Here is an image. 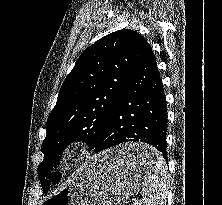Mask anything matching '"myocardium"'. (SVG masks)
Instances as JSON below:
<instances>
[{
	"label": "myocardium",
	"instance_id": "myocardium-1",
	"mask_svg": "<svg viewBox=\"0 0 222 205\" xmlns=\"http://www.w3.org/2000/svg\"><path fill=\"white\" fill-rule=\"evenodd\" d=\"M85 143L81 140H75L66 143L59 154L60 162L63 165H70L75 163L85 152Z\"/></svg>",
	"mask_w": 222,
	"mask_h": 205
}]
</instances>
